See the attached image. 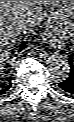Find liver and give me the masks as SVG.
Masks as SVG:
<instances>
[{
  "mask_svg": "<svg viewBox=\"0 0 74 122\" xmlns=\"http://www.w3.org/2000/svg\"><path fill=\"white\" fill-rule=\"evenodd\" d=\"M55 1H0V62L8 60L20 34H29L44 18L43 5ZM26 28L20 31L19 26Z\"/></svg>",
  "mask_w": 74,
  "mask_h": 122,
  "instance_id": "liver-1",
  "label": "liver"
}]
</instances>
